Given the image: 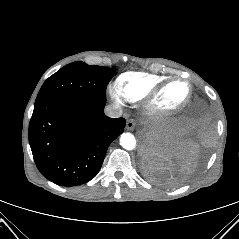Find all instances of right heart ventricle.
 Segmentation results:
<instances>
[{
  "instance_id": "obj_1",
  "label": "right heart ventricle",
  "mask_w": 239,
  "mask_h": 239,
  "mask_svg": "<svg viewBox=\"0 0 239 239\" xmlns=\"http://www.w3.org/2000/svg\"><path fill=\"white\" fill-rule=\"evenodd\" d=\"M167 78L151 73L128 71L122 73L116 80V87L124 99L135 102L145 98L156 86Z\"/></svg>"
}]
</instances>
